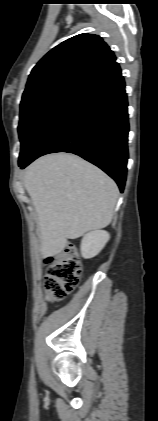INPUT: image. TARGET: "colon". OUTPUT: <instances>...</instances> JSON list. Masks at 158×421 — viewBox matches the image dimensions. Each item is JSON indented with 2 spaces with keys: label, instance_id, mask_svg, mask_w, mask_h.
I'll return each mask as SVG.
<instances>
[{
  "label": "colon",
  "instance_id": "5ec220e1",
  "mask_svg": "<svg viewBox=\"0 0 158 421\" xmlns=\"http://www.w3.org/2000/svg\"><path fill=\"white\" fill-rule=\"evenodd\" d=\"M49 267L44 286L51 302H58L78 286L82 265L76 249L69 245L55 257L48 258Z\"/></svg>",
  "mask_w": 158,
  "mask_h": 421
}]
</instances>
